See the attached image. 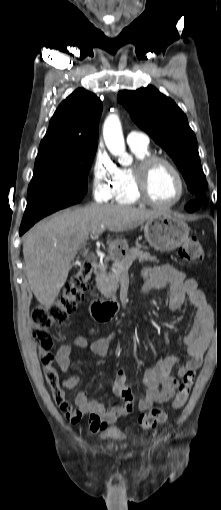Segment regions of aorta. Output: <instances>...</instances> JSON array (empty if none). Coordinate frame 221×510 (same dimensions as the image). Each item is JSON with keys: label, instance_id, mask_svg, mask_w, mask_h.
<instances>
[{"label": "aorta", "instance_id": "obj_1", "mask_svg": "<svg viewBox=\"0 0 221 510\" xmlns=\"http://www.w3.org/2000/svg\"><path fill=\"white\" fill-rule=\"evenodd\" d=\"M103 138L107 149L118 157L120 163L125 165L131 163L132 159L126 153L122 126L117 114H111L106 118L103 125Z\"/></svg>", "mask_w": 221, "mask_h": 510}]
</instances>
